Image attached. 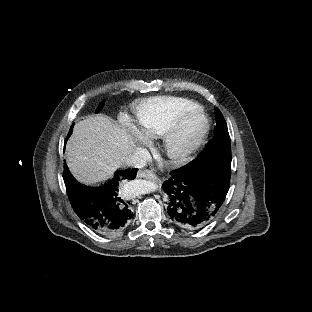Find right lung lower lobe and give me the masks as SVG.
<instances>
[{"label":"right lung lower lobe","instance_id":"obj_1","mask_svg":"<svg viewBox=\"0 0 312 312\" xmlns=\"http://www.w3.org/2000/svg\"><path fill=\"white\" fill-rule=\"evenodd\" d=\"M137 170H119L111 180L91 187L77 182L64 161L63 178L70 203L86 226L102 235H113L128 227L133 213L124 194Z\"/></svg>","mask_w":312,"mask_h":312}]
</instances>
